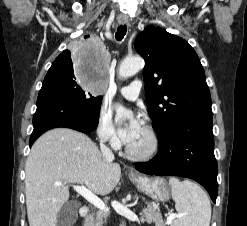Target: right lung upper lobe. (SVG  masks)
<instances>
[{
    "label": "right lung upper lobe",
    "mask_w": 247,
    "mask_h": 226,
    "mask_svg": "<svg viewBox=\"0 0 247 226\" xmlns=\"http://www.w3.org/2000/svg\"><path fill=\"white\" fill-rule=\"evenodd\" d=\"M89 37H90V35L84 36L85 39H87V38H89ZM69 55H70V51H69V50L63 51V52L55 59V61L52 63V66H51V67L55 66L56 63L59 62L60 60L67 59V58L69 57Z\"/></svg>",
    "instance_id": "1"
}]
</instances>
